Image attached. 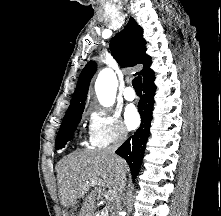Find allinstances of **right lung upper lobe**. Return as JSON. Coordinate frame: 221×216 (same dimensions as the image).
I'll return each mask as SVG.
<instances>
[{
	"label": "right lung upper lobe",
	"mask_w": 221,
	"mask_h": 216,
	"mask_svg": "<svg viewBox=\"0 0 221 216\" xmlns=\"http://www.w3.org/2000/svg\"><path fill=\"white\" fill-rule=\"evenodd\" d=\"M143 30L131 18L123 31L112 38L110 49L117 62L122 67H131L136 64H143V69L139 72L143 76V82L153 76L154 72L149 68L151 57L145 54L146 41L142 38ZM95 62H89L82 70L77 87L70 101V106L64 117L84 110L86 95L92 76L96 71Z\"/></svg>",
	"instance_id": "right-lung-upper-lobe-1"
}]
</instances>
